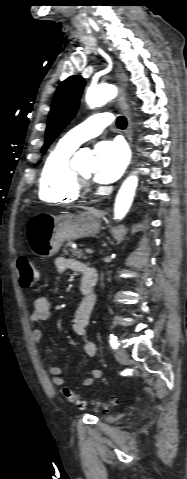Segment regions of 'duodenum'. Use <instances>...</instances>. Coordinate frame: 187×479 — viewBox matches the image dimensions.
<instances>
[{"mask_svg": "<svg viewBox=\"0 0 187 479\" xmlns=\"http://www.w3.org/2000/svg\"><path fill=\"white\" fill-rule=\"evenodd\" d=\"M92 268V267H91ZM97 285V274L95 270L88 269L80 285V290L85 297H91Z\"/></svg>", "mask_w": 187, "mask_h": 479, "instance_id": "obj_1", "label": "duodenum"}]
</instances>
